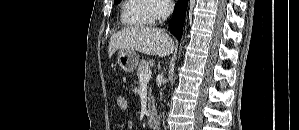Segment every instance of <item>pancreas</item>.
<instances>
[{
  "label": "pancreas",
  "mask_w": 299,
  "mask_h": 130,
  "mask_svg": "<svg viewBox=\"0 0 299 130\" xmlns=\"http://www.w3.org/2000/svg\"><path fill=\"white\" fill-rule=\"evenodd\" d=\"M147 70H149V63L145 60H142L139 63V66L137 69V76H138L139 80H140L141 75ZM148 101H149L148 107L151 108L153 106V105H151V103L153 104L154 99H153V96L151 95L150 89H149Z\"/></svg>",
  "instance_id": "1"
}]
</instances>
